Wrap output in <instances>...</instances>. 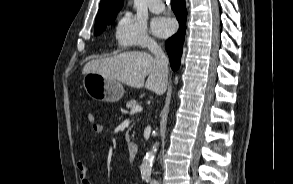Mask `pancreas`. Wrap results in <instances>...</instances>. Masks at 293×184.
<instances>
[{"instance_id":"pancreas-1","label":"pancreas","mask_w":293,"mask_h":184,"mask_svg":"<svg viewBox=\"0 0 293 184\" xmlns=\"http://www.w3.org/2000/svg\"><path fill=\"white\" fill-rule=\"evenodd\" d=\"M138 102L136 100H130L127 102L126 107L128 109H133V107L137 106ZM126 140L129 142V135L128 133L126 134Z\"/></svg>"}]
</instances>
